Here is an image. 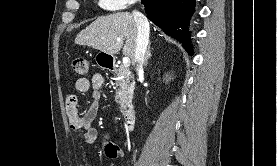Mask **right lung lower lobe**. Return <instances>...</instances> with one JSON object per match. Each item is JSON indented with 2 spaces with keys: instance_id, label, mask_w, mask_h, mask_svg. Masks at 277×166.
Wrapping results in <instances>:
<instances>
[{
  "instance_id": "1",
  "label": "right lung lower lobe",
  "mask_w": 277,
  "mask_h": 166,
  "mask_svg": "<svg viewBox=\"0 0 277 166\" xmlns=\"http://www.w3.org/2000/svg\"><path fill=\"white\" fill-rule=\"evenodd\" d=\"M147 17L191 54L189 20L195 0H142Z\"/></svg>"
}]
</instances>
